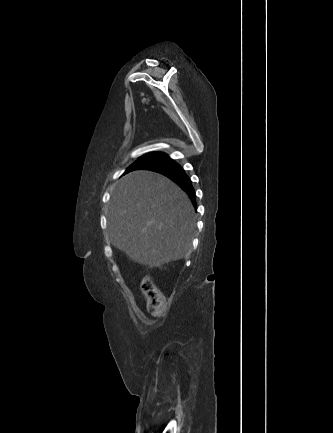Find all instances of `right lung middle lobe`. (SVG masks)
<instances>
[{
    "label": "right lung middle lobe",
    "mask_w": 333,
    "mask_h": 433,
    "mask_svg": "<svg viewBox=\"0 0 333 433\" xmlns=\"http://www.w3.org/2000/svg\"><path fill=\"white\" fill-rule=\"evenodd\" d=\"M166 154L164 153H149L146 154L144 156H142L141 158H139L134 164H132L129 169H127V171H132L134 169L139 168L140 166H142L143 164L149 163V162H153L159 158H161L162 156H164Z\"/></svg>",
    "instance_id": "1"
}]
</instances>
